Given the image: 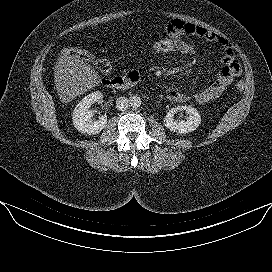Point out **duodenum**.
<instances>
[{
  "instance_id": "duodenum-1",
  "label": "duodenum",
  "mask_w": 272,
  "mask_h": 272,
  "mask_svg": "<svg viewBox=\"0 0 272 272\" xmlns=\"http://www.w3.org/2000/svg\"><path fill=\"white\" fill-rule=\"evenodd\" d=\"M139 77L134 74H126L103 81V84L110 89H126L137 83Z\"/></svg>"
}]
</instances>
